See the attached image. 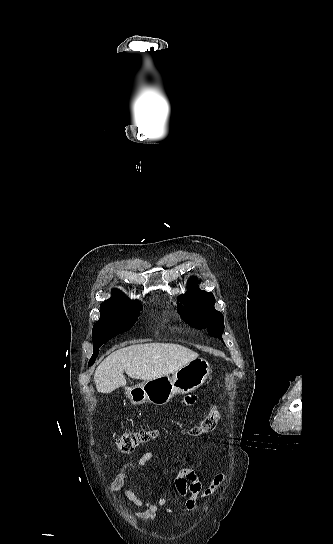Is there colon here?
I'll list each match as a JSON object with an SVG mask.
<instances>
[{"label": "colon", "instance_id": "colon-1", "mask_svg": "<svg viewBox=\"0 0 333 544\" xmlns=\"http://www.w3.org/2000/svg\"><path fill=\"white\" fill-rule=\"evenodd\" d=\"M221 418V410L219 407L212 408L207 415L195 426L189 429L188 433L193 436H198L205 433H210ZM157 431L155 430H130L121 435H116V444L121 453L128 454L133 452L138 446L156 438Z\"/></svg>", "mask_w": 333, "mask_h": 544}]
</instances>
